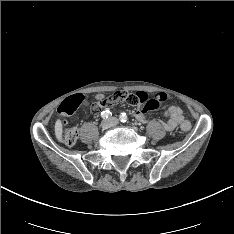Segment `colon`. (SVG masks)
I'll return each instance as SVG.
<instances>
[{"mask_svg": "<svg viewBox=\"0 0 234 234\" xmlns=\"http://www.w3.org/2000/svg\"><path fill=\"white\" fill-rule=\"evenodd\" d=\"M166 94L158 92L152 97H149L145 92L130 93L127 91H116L107 100L99 97L92 105L91 109L94 113H98L106 102L120 103L126 102L131 106L146 108L148 110L158 109L161 102L165 101ZM85 104V99L82 95H74L65 99L59 106V112L63 116H70L75 113L81 106ZM191 128L189 121L183 122L181 129L188 131ZM62 142L67 146H73L78 139V131L76 128L65 127L61 135Z\"/></svg>", "mask_w": 234, "mask_h": 234, "instance_id": "5ec220e1", "label": "colon"}]
</instances>
